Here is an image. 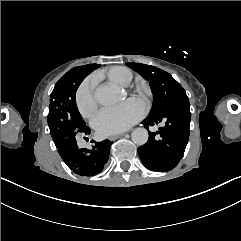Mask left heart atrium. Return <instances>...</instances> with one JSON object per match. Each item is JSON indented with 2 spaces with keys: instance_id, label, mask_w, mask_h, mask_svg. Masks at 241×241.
Wrapping results in <instances>:
<instances>
[{
  "instance_id": "left-heart-atrium-1",
  "label": "left heart atrium",
  "mask_w": 241,
  "mask_h": 241,
  "mask_svg": "<svg viewBox=\"0 0 241 241\" xmlns=\"http://www.w3.org/2000/svg\"><path fill=\"white\" fill-rule=\"evenodd\" d=\"M144 116V108L129 111L122 107L103 108L91 119L92 126L102 135L120 134L129 130Z\"/></svg>"
}]
</instances>
